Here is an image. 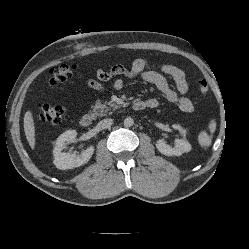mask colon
I'll return each instance as SVG.
<instances>
[{
    "mask_svg": "<svg viewBox=\"0 0 249 249\" xmlns=\"http://www.w3.org/2000/svg\"><path fill=\"white\" fill-rule=\"evenodd\" d=\"M77 73V67L74 65H61L50 70L49 84L56 86L58 83L65 81ZM196 85L202 95L209 92L208 84L205 79L196 81ZM65 115V109L61 106L49 104H38L35 119L41 122L59 123Z\"/></svg>",
    "mask_w": 249,
    "mask_h": 249,
    "instance_id": "colon-1",
    "label": "colon"
}]
</instances>
